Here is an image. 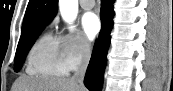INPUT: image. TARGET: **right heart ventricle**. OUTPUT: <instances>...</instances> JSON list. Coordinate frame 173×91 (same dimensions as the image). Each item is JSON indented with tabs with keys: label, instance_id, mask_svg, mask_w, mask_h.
I'll use <instances>...</instances> for the list:
<instances>
[{
	"label": "right heart ventricle",
	"instance_id": "1",
	"mask_svg": "<svg viewBox=\"0 0 173 91\" xmlns=\"http://www.w3.org/2000/svg\"><path fill=\"white\" fill-rule=\"evenodd\" d=\"M27 72L45 78L68 75L69 70L62 58L59 42L51 35H44L32 47L28 55Z\"/></svg>",
	"mask_w": 173,
	"mask_h": 91
}]
</instances>
